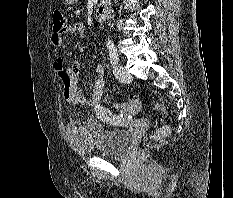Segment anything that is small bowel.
<instances>
[{
    "instance_id": "obj_1",
    "label": "small bowel",
    "mask_w": 233,
    "mask_h": 198,
    "mask_svg": "<svg viewBox=\"0 0 233 198\" xmlns=\"http://www.w3.org/2000/svg\"><path fill=\"white\" fill-rule=\"evenodd\" d=\"M84 33V24L82 22H76L73 25L65 26L60 32L53 31L51 43L55 47H61L65 35L83 37ZM53 69L63 84V96L68 103L93 107L98 118L107 119V114L100 105V98L105 87V70L103 66L98 65L96 67L95 72L97 78L88 86L89 97H85L78 86V75L81 70V65L77 60H70L66 67L64 58L58 56L53 61Z\"/></svg>"
}]
</instances>
